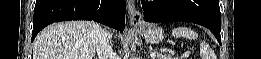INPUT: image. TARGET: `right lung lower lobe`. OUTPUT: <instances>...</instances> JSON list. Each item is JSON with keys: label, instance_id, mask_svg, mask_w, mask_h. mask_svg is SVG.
<instances>
[{"label": "right lung lower lobe", "instance_id": "right-lung-lower-lobe-1", "mask_svg": "<svg viewBox=\"0 0 261 59\" xmlns=\"http://www.w3.org/2000/svg\"><path fill=\"white\" fill-rule=\"evenodd\" d=\"M125 0H37L32 41L47 25L68 20H94L123 31Z\"/></svg>", "mask_w": 261, "mask_h": 59}]
</instances>
